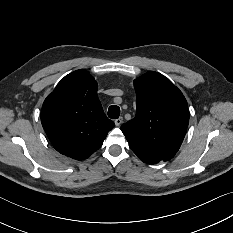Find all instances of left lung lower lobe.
I'll list each match as a JSON object with an SVG mask.
<instances>
[{
    "label": "left lung lower lobe",
    "mask_w": 233,
    "mask_h": 233,
    "mask_svg": "<svg viewBox=\"0 0 233 233\" xmlns=\"http://www.w3.org/2000/svg\"><path fill=\"white\" fill-rule=\"evenodd\" d=\"M135 154L145 163L155 164V163H158L159 161H161L153 156H149V155H146L144 153L135 152Z\"/></svg>",
    "instance_id": "obj_1"
}]
</instances>
